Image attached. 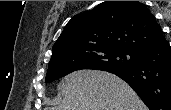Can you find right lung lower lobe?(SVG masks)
Listing matches in <instances>:
<instances>
[{
  "label": "right lung lower lobe",
  "instance_id": "right-lung-lower-lobe-1",
  "mask_svg": "<svg viewBox=\"0 0 171 110\" xmlns=\"http://www.w3.org/2000/svg\"><path fill=\"white\" fill-rule=\"evenodd\" d=\"M108 71L126 81L150 110H171V49L166 39L138 51L132 66Z\"/></svg>",
  "mask_w": 171,
  "mask_h": 110
}]
</instances>
